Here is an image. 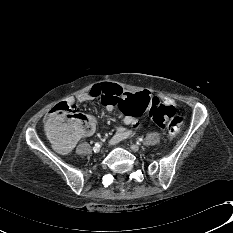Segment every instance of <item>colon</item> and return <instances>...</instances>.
Instances as JSON below:
<instances>
[{
  "label": "colon",
  "instance_id": "obj_1",
  "mask_svg": "<svg viewBox=\"0 0 233 233\" xmlns=\"http://www.w3.org/2000/svg\"><path fill=\"white\" fill-rule=\"evenodd\" d=\"M92 96L97 102L110 104L129 116H137L148 110L150 120L165 128L169 135L175 136L180 132L182 118L176 114L175 106L161 104L148 89L131 92L111 82H99L93 87ZM93 128L94 123L89 115L79 113L64 103L52 108L46 124L48 134L55 141L61 138L82 139L90 135Z\"/></svg>",
  "mask_w": 233,
  "mask_h": 233
}]
</instances>
